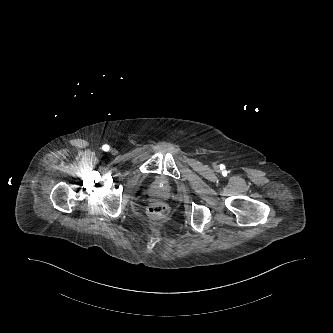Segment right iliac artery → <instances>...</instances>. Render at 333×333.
I'll use <instances>...</instances> for the list:
<instances>
[{
  "instance_id": "obj_1",
  "label": "right iliac artery",
  "mask_w": 333,
  "mask_h": 333,
  "mask_svg": "<svg viewBox=\"0 0 333 333\" xmlns=\"http://www.w3.org/2000/svg\"><path fill=\"white\" fill-rule=\"evenodd\" d=\"M102 149H103L105 152H107V151H109L110 147H109V145L105 144V145L102 146Z\"/></svg>"
}]
</instances>
